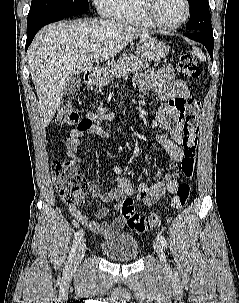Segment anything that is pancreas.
<instances>
[{"instance_id": "cf45deb5", "label": "pancreas", "mask_w": 239, "mask_h": 303, "mask_svg": "<svg viewBox=\"0 0 239 303\" xmlns=\"http://www.w3.org/2000/svg\"><path fill=\"white\" fill-rule=\"evenodd\" d=\"M148 67L149 64L146 60L139 59L133 54H123L111 65L108 71L109 81L112 82L116 78L125 77L140 69H146Z\"/></svg>"}]
</instances>
